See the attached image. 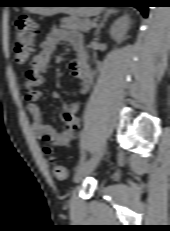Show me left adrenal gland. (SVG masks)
I'll list each match as a JSON object with an SVG mask.
<instances>
[{
    "instance_id": "obj_1",
    "label": "left adrenal gland",
    "mask_w": 170,
    "mask_h": 231,
    "mask_svg": "<svg viewBox=\"0 0 170 231\" xmlns=\"http://www.w3.org/2000/svg\"><path fill=\"white\" fill-rule=\"evenodd\" d=\"M116 11L115 10H108L103 17V20L101 21V23L99 24V26L97 27L96 31H95V37H98L101 28L104 26L105 22L107 21V19L110 17V15L115 14Z\"/></svg>"
}]
</instances>
